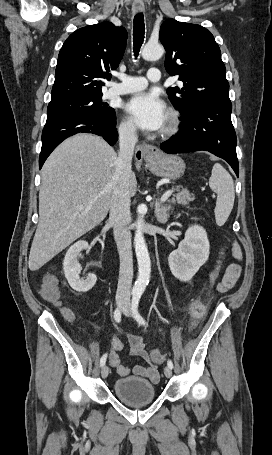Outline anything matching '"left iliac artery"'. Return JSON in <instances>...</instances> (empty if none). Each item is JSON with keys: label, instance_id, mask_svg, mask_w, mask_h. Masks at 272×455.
<instances>
[{"label": "left iliac artery", "instance_id": "1", "mask_svg": "<svg viewBox=\"0 0 272 455\" xmlns=\"http://www.w3.org/2000/svg\"><path fill=\"white\" fill-rule=\"evenodd\" d=\"M141 298V294L140 293H137V294H134L133 296V299H132V314H133V317L135 318V320L141 324V325H147L145 319L140 315V313L138 312V305H139V300ZM167 365L172 369L173 368V363L171 360H168L167 362Z\"/></svg>", "mask_w": 272, "mask_h": 455}]
</instances>
